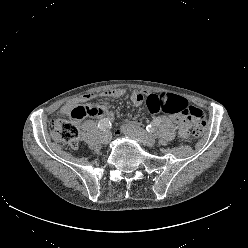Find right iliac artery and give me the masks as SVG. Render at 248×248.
Segmentation results:
<instances>
[{
	"label": "right iliac artery",
	"mask_w": 248,
	"mask_h": 248,
	"mask_svg": "<svg viewBox=\"0 0 248 248\" xmlns=\"http://www.w3.org/2000/svg\"><path fill=\"white\" fill-rule=\"evenodd\" d=\"M110 125H111L110 121L104 118L99 121L98 128L101 131H106V129H108Z\"/></svg>",
	"instance_id": "obj_1"
}]
</instances>
